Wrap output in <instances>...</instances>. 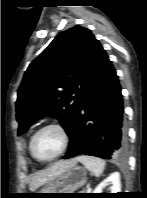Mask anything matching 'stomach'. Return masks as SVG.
<instances>
[{
	"mask_svg": "<svg viewBox=\"0 0 147 198\" xmlns=\"http://www.w3.org/2000/svg\"><path fill=\"white\" fill-rule=\"evenodd\" d=\"M87 182L86 169L80 166H73L64 173L47 183L37 193H74ZM42 197H60L57 194H42Z\"/></svg>",
	"mask_w": 147,
	"mask_h": 198,
	"instance_id": "obj_1",
	"label": "stomach"
}]
</instances>
